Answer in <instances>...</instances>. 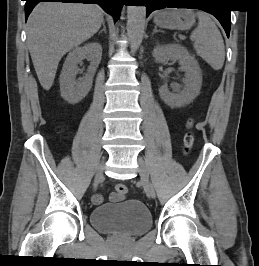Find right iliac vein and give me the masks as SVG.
Returning a JSON list of instances; mask_svg holds the SVG:
<instances>
[{"mask_svg":"<svg viewBox=\"0 0 259 266\" xmlns=\"http://www.w3.org/2000/svg\"><path fill=\"white\" fill-rule=\"evenodd\" d=\"M104 168H105L104 160H102L96 170V175H95L94 184H93L94 188H97L99 182L103 179Z\"/></svg>","mask_w":259,"mask_h":266,"instance_id":"right-iliac-vein-1","label":"right iliac vein"}]
</instances>
